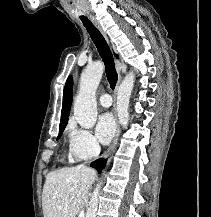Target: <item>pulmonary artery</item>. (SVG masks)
<instances>
[{"label": "pulmonary artery", "instance_id": "obj_1", "mask_svg": "<svg viewBox=\"0 0 211 217\" xmlns=\"http://www.w3.org/2000/svg\"><path fill=\"white\" fill-rule=\"evenodd\" d=\"M99 103L103 107H110L112 104V98L109 94H103L99 97Z\"/></svg>", "mask_w": 211, "mask_h": 217}]
</instances>
